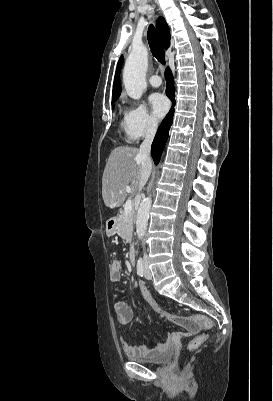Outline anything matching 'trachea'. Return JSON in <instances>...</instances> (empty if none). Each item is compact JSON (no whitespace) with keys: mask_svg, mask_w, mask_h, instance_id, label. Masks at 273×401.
I'll return each instance as SVG.
<instances>
[{"mask_svg":"<svg viewBox=\"0 0 273 401\" xmlns=\"http://www.w3.org/2000/svg\"><path fill=\"white\" fill-rule=\"evenodd\" d=\"M148 43L153 56L159 63L165 65V52L160 37L154 26L150 25L148 29Z\"/></svg>","mask_w":273,"mask_h":401,"instance_id":"3493384b","label":"trachea"}]
</instances>
